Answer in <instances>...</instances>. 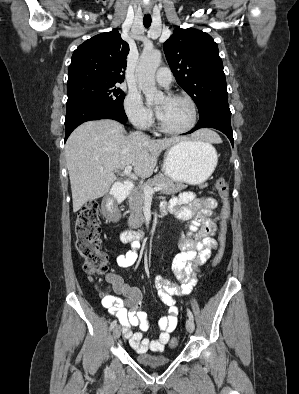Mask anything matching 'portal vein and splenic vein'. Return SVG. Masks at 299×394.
Instances as JSON below:
<instances>
[{
  "instance_id": "1",
  "label": "portal vein and splenic vein",
  "mask_w": 299,
  "mask_h": 394,
  "mask_svg": "<svg viewBox=\"0 0 299 394\" xmlns=\"http://www.w3.org/2000/svg\"><path fill=\"white\" fill-rule=\"evenodd\" d=\"M123 174L126 175L127 177L131 178V179H137V176L132 173V166L131 165L125 167V169L123 171ZM160 190H162L161 186H156L154 188L153 187H149V186H145L143 188L144 195L147 196V197L152 196L155 192H158Z\"/></svg>"
}]
</instances>
